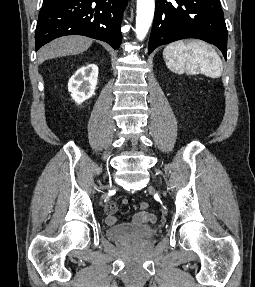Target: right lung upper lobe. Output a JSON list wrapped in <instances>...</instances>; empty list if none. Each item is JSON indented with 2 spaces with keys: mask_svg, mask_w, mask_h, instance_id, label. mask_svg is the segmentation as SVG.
Instances as JSON below:
<instances>
[{
  "mask_svg": "<svg viewBox=\"0 0 255 287\" xmlns=\"http://www.w3.org/2000/svg\"><path fill=\"white\" fill-rule=\"evenodd\" d=\"M48 1H50V0H44V2H48Z\"/></svg>",
  "mask_w": 255,
  "mask_h": 287,
  "instance_id": "cb5924a9",
  "label": "right lung upper lobe"
}]
</instances>
